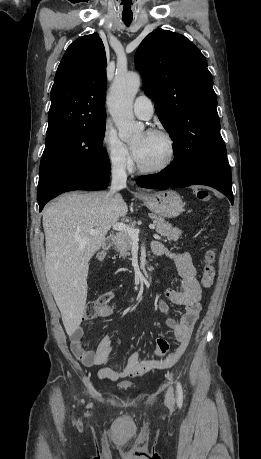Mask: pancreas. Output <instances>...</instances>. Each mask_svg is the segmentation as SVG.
Masks as SVG:
<instances>
[{
    "instance_id": "obj_1",
    "label": "pancreas",
    "mask_w": 261,
    "mask_h": 459,
    "mask_svg": "<svg viewBox=\"0 0 261 459\" xmlns=\"http://www.w3.org/2000/svg\"><path fill=\"white\" fill-rule=\"evenodd\" d=\"M150 217L154 220L157 228L156 231L161 236L167 237L170 241L177 242L181 236L182 231L176 227H173L170 223L166 222L164 218L157 216L155 214H150ZM130 227H135V222H131ZM115 249L119 252V256L125 258L130 255V250L132 247V238L123 231H120L116 234L114 238Z\"/></svg>"
}]
</instances>
